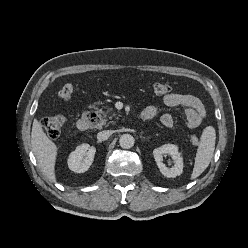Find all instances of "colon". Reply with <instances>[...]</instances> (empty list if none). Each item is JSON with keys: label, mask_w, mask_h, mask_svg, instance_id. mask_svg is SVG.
<instances>
[{"label": "colon", "mask_w": 248, "mask_h": 248, "mask_svg": "<svg viewBox=\"0 0 248 248\" xmlns=\"http://www.w3.org/2000/svg\"><path fill=\"white\" fill-rule=\"evenodd\" d=\"M152 91L156 95H167L171 92V87L166 83H155L152 86ZM73 95V86L70 84H65L59 90V96L62 99H70ZM65 123V118L62 115L50 116L41 121V127L45 134L51 138L57 137ZM191 143L194 146L199 144V139L197 136L193 135L190 138Z\"/></svg>", "instance_id": "obj_1"}]
</instances>
